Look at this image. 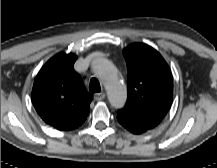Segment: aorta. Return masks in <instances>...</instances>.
<instances>
[{
    "label": "aorta",
    "mask_w": 217,
    "mask_h": 168,
    "mask_svg": "<svg viewBox=\"0 0 217 168\" xmlns=\"http://www.w3.org/2000/svg\"><path fill=\"white\" fill-rule=\"evenodd\" d=\"M92 67L105 85L110 104L115 108H122L127 100V90L115 66L108 59L99 56L93 60Z\"/></svg>",
    "instance_id": "762f6f07"
}]
</instances>
